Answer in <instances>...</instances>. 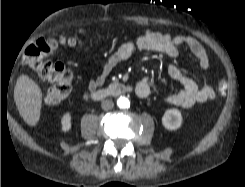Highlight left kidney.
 I'll return each instance as SVG.
<instances>
[{"label": "left kidney", "mask_w": 245, "mask_h": 187, "mask_svg": "<svg viewBox=\"0 0 245 187\" xmlns=\"http://www.w3.org/2000/svg\"><path fill=\"white\" fill-rule=\"evenodd\" d=\"M162 124L167 130H177L182 125L181 112L176 109H168L162 117Z\"/></svg>", "instance_id": "left-kidney-1"}]
</instances>
